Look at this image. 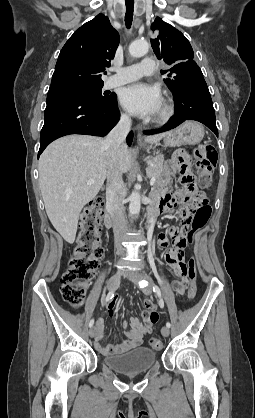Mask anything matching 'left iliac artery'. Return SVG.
<instances>
[{
  "label": "left iliac artery",
  "mask_w": 255,
  "mask_h": 418,
  "mask_svg": "<svg viewBox=\"0 0 255 418\" xmlns=\"http://www.w3.org/2000/svg\"><path fill=\"white\" fill-rule=\"evenodd\" d=\"M153 291L159 296L160 294H161V291H160V289H159V287L158 286H156L155 284L153 285ZM160 297V296H159ZM160 299H161V297H160ZM166 326L168 327V328H170L171 327V324H170V322H167L166 323Z\"/></svg>",
  "instance_id": "left-iliac-artery-1"
}]
</instances>
